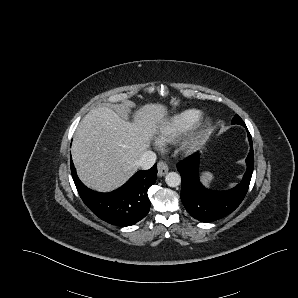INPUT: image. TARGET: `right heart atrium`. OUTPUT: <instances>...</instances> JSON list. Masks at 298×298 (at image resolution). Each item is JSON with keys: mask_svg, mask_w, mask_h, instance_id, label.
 Segmentation results:
<instances>
[{"mask_svg": "<svg viewBox=\"0 0 298 298\" xmlns=\"http://www.w3.org/2000/svg\"><path fill=\"white\" fill-rule=\"evenodd\" d=\"M147 144L153 152L159 153L165 149L166 142L165 139L159 132L153 131L147 135Z\"/></svg>", "mask_w": 298, "mask_h": 298, "instance_id": "obj_1", "label": "right heart atrium"}]
</instances>
